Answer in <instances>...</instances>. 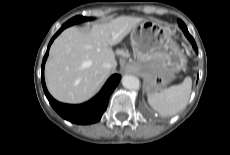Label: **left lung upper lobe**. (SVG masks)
I'll use <instances>...</instances> for the list:
<instances>
[{
    "instance_id": "5c2ea615",
    "label": "left lung upper lobe",
    "mask_w": 230,
    "mask_h": 155,
    "mask_svg": "<svg viewBox=\"0 0 230 155\" xmlns=\"http://www.w3.org/2000/svg\"><path fill=\"white\" fill-rule=\"evenodd\" d=\"M178 24H179V26H180V28L183 30V29H187V27H186V25L181 21V20H179L178 19Z\"/></svg>"
}]
</instances>
